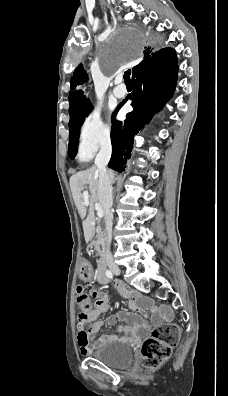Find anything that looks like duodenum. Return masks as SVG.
Segmentation results:
<instances>
[{"label":"duodenum","mask_w":228,"mask_h":396,"mask_svg":"<svg viewBox=\"0 0 228 396\" xmlns=\"http://www.w3.org/2000/svg\"><path fill=\"white\" fill-rule=\"evenodd\" d=\"M104 269V252L102 250L99 251L98 256V275L102 277Z\"/></svg>","instance_id":"obj_1"}]
</instances>
